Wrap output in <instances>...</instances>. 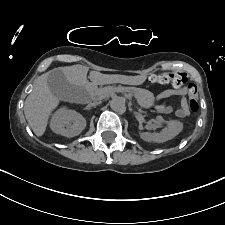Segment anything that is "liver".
<instances>
[{"label": "liver", "mask_w": 225, "mask_h": 225, "mask_svg": "<svg viewBox=\"0 0 225 225\" xmlns=\"http://www.w3.org/2000/svg\"><path fill=\"white\" fill-rule=\"evenodd\" d=\"M68 82L77 87L89 86L86 80L89 68L83 65H73L60 67ZM48 73L39 76L35 83L33 91L28 95L24 104V114L33 132L42 136L48 124V119L52 111L58 106L59 100L52 94L47 84ZM92 85H104L115 82L132 83L126 77L118 75H106L92 71L89 74Z\"/></svg>", "instance_id": "6515ba94"}]
</instances>
